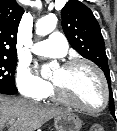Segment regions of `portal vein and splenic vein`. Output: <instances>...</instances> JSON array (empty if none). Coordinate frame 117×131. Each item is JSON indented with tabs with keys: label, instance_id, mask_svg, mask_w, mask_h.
<instances>
[{
	"label": "portal vein and splenic vein",
	"instance_id": "portal-vein-and-splenic-vein-1",
	"mask_svg": "<svg viewBox=\"0 0 117 131\" xmlns=\"http://www.w3.org/2000/svg\"><path fill=\"white\" fill-rule=\"evenodd\" d=\"M14 121H10L9 124H13Z\"/></svg>",
	"mask_w": 117,
	"mask_h": 131
}]
</instances>
